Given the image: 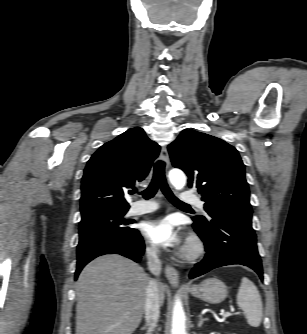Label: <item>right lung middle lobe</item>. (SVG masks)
I'll use <instances>...</instances> for the list:
<instances>
[{"label": "right lung middle lobe", "mask_w": 307, "mask_h": 334, "mask_svg": "<svg viewBox=\"0 0 307 334\" xmlns=\"http://www.w3.org/2000/svg\"><path fill=\"white\" fill-rule=\"evenodd\" d=\"M125 214L103 211L82 216L77 257L99 246L123 244L133 239L139 231L129 226Z\"/></svg>", "instance_id": "right-lung-middle-lobe-1"}]
</instances>
